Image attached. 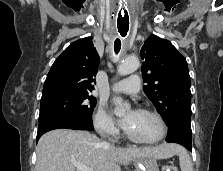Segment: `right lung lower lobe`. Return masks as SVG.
Segmentation results:
<instances>
[{"label": "right lung lower lobe", "mask_w": 223, "mask_h": 171, "mask_svg": "<svg viewBox=\"0 0 223 171\" xmlns=\"http://www.w3.org/2000/svg\"><path fill=\"white\" fill-rule=\"evenodd\" d=\"M94 130L92 122L70 114H60L39 121L36 142L46 132L54 129Z\"/></svg>", "instance_id": "98d812e1"}]
</instances>
